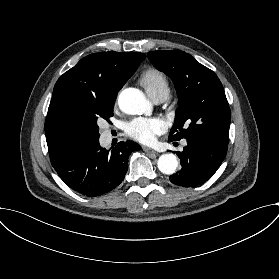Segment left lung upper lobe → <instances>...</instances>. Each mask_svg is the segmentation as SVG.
<instances>
[{
	"mask_svg": "<svg viewBox=\"0 0 279 279\" xmlns=\"http://www.w3.org/2000/svg\"><path fill=\"white\" fill-rule=\"evenodd\" d=\"M148 58L172 79L179 98L169 139L228 141L231 111L217 75L181 50L152 51Z\"/></svg>",
	"mask_w": 279,
	"mask_h": 279,
	"instance_id": "5c2ea615",
	"label": "left lung upper lobe"
}]
</instances>
